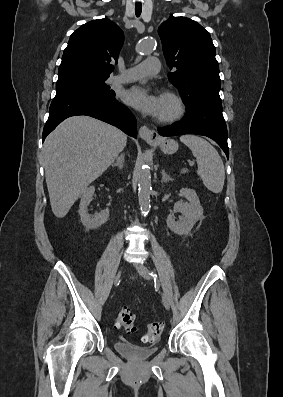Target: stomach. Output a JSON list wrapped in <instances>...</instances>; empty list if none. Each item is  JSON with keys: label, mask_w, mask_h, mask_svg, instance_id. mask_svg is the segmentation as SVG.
Segmentation results:
<instances>
[{"label": "stomach", "mask_w": 283, "mask_h": 397, "mask_svg": "<svg viewBox=\"0 0 283 397\" xmlns=\"http://www.w3.org/2000/svg\"><path fill=\"white\" fill-rule=\"evenodd\" d=\"M151 145H159L165 154H174L178 150V143L173 139H163L159 143H150Z\"/></svg>", "instance_id": "0dacf381"}]
</instances>
